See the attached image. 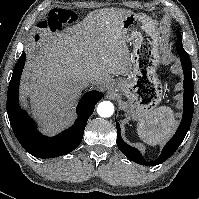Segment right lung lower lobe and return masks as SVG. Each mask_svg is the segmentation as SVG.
Instances as JSON below:
<instances>
[{"instance_id": "obj_1", "label": "right lung lower lobe", "mask_w": 199, "mask_h": 199, "mask_svg": "<svg viewBox=\"0 0 199 199\" xmlns=\"http://www.w3.org/2000/svg\"><path fill=\"white\" fill-rule=\"evenodd\" d=\"M24 65L25 53H22L14 67L7 93V113L16 138L28 153L38 158H53L73 151L81 143L87 120L103 94L95 90L85 93L77 106L78 118L74 125L55 137H46L19 107V82Z\"/></svg>"}]
</instances>
